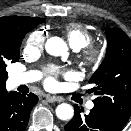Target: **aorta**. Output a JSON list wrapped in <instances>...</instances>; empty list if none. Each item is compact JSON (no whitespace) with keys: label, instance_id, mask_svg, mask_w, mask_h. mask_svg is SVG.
I'll list each match as a JSON object with an SVG mask.
<instances>
[{"label":"aorta","instance_id":"obj_1","mask_svg":"<svg viewBox=\"0 0 131 131\" xmlns=\"http://www.w3.org/2000/svg\"><path fill=\"white\" fill-rule=\"evenodd\" d=\"M45 49L53 56H62L67 53L66 43L59 37H51L46 41ZM74 110L70 104L62 103L56 108V116L60 120H69L73 117Z\"/></svg>","mask_w":131,"mask_h":131}]
</instances>
